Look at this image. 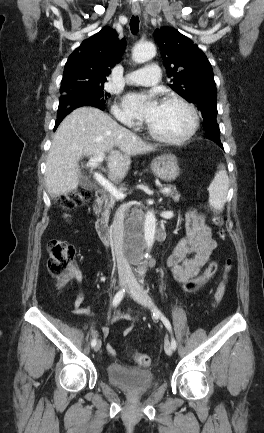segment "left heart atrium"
<instances>
[{
    "label": "left heart atrium",
    "instance_id": "left-heart-atrium-1",
    "mask_svg": "<svg viewBox=\"0 0 264 433\" xmlns=\"http://www.w3.org/2000/svg\"><path fill=\"white\" fill-rule=\"evenodd\" d=\"M127 108L137 117L150 122L156 115L160 103L153 93H132L125 97Z\"/></svg>",
    "mask_w": 264,
    "mask_h": 433
}]
</instances>
